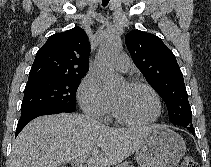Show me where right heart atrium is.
Wrapping results in <instances>:
<instances>
[{"label":"right heart atrium","instance_id":"obj_1","mask_svg":"<svg viewBox=\"0 0 211 167\" xmlns=\"http://www.w3.org/2000/svg\"><path fill=\"white\" fill-rule=\"evenodd\" d=\"M78 99L85 113L107 121L111 114V102L105 95L98 79L93 75H87L78 89Z\"/></svg>","mask_w":211,"mask_h":167}]
</instances>
